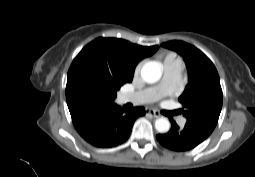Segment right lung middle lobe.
I'll list each match as a JSON object with an SVG mask.
<instances>
[{
  "mask_svg": "<svg viewBox=\"0 0 255 177\" xmlns=\"http://www.w3.org/2000/svg\"><path fill=\"white\" fill-rule=\"evenodd\" d=\"M120 65L90 50H83L72 62L67 83L81 91L94 103H112L120 87L131 82Z\"/></svg>",
  "mask_w": 255,
  "mask_h": 177,
  "instance_id": "obj_1",
  "label": "right lung middle lobe"
}]
</instances>
